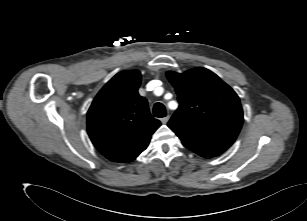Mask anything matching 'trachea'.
Returning <instances> with one entry per match:
<instances>
[{"label":"trachea","mask_w":307,"mask_h":221,"mask_svg":"<svg viewBox=\"0 0 307 221\" xmlns=\"http://www.w3.org/2000/svg\"><path fill=\"white\" fill-rule=\"evenodd\" d=\"M153 114L155 117L161 118L166 116V110L162 103H156L153 107Z\"/></svg>","instance_id":"trachea-1"}]
</instances>
